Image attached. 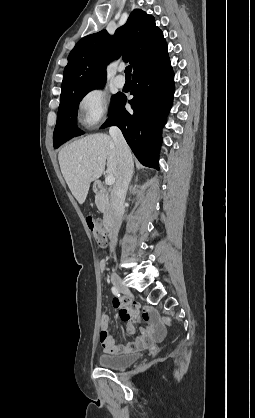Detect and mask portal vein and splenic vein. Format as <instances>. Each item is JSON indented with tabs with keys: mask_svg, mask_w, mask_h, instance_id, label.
I'll return each instance as SVG.
<instances>
[{
	"mask_svg": "<svg viewBox=\"0 0 255 418\" xmlns=\"http://www.w3.org/2000/svg\"><path fill=\"white\" fill-rule=\"evenodd\" d=\"M115 182V177L113 175H107L105 178L106 185H113Z\"/></svg>",
	"mask_w": 255,
	"mask_h": 418,
	"instance_id": "obj_1",
	"label": "portal vein and splenic vein"
}]
</instances>
